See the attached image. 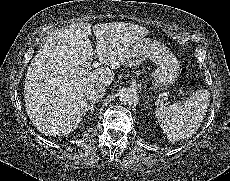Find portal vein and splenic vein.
<instances>
[{
  "instance_id": "portal-vein-and-splenic-vein-1",
  "label": "portal vein and splenic vein",
  "mask_w": 230,
  "mask_h": 181,
  "mask_svg": "<svg viewBox=\"0 0 230 181\" xmlns=\"http://www.w3.org/2000/svg\"><path fill=\"white\" fill-rule=\"evenodd\" d=\"M92 66L96 68L99 66V63L97 61H94Z\"/></svg>"
}]
</instances>
